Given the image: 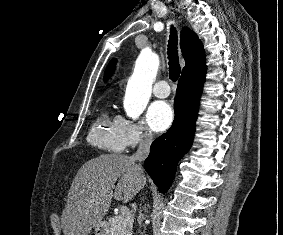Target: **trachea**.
I'll return each instance as SVG.
<instances>
[{
  "mask_svg": "<svg viewBox=\"0 0 283 235\" xmlns=\"http://www.w3.org/2000/svg\"><path fill=\"white\" fill-rule=\"evenodd\" d=\"M168 59H169V77L172 81H177L181 68L178 61V53H177V33L174 27L171 28L170 39L168 43Z\"/></svg>",
  "mask_w": 283,
  "mask_h": 235,
  "instance_id": "1",
  "label": "trachea"
}]
</instances>
